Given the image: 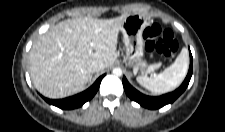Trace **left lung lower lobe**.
<instances>
[{
    "label": "left lung lower lobe",
    "mask_w": 225,
    "mask_h": 132,
    "mask_svg": "<svg viewBox=\"0 0 225 132\" xmlns=\"http://www.w3.org/2000/svg\"><path fill=\"white\" fill-rule=\"evenodd\" d=\"M192 76V55L190 52V67L188 74L182 83V85L176 89L175 91L159 96V97H150L143 95L136 89H134L127 81L125 77H123V86L126 94L130 97L131 100L136 101L141 106L146 107L148 109H158L163 107L166 104L174 102L187 88L189 81Z\"/></svg>",
    "instance_id": "0a47b994"
}]
</instances>
